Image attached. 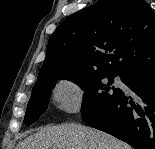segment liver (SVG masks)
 <instances>
[{
	"instance_id": "obj_1",
	"label": "liver",
	"mask_w": 155,
	"mask_h": 149,
	"mask_svg": "<svg viewBox=\"0 0 155 149\" xmlns=\"http://www.w3.org/2000/svg\"><path fill=\"white\" fill-rule=\"evenodd\" d=\"M16 149H131L115 137L75 123L47 126L20 141Z\"/></svg>"
}]
</instances>
